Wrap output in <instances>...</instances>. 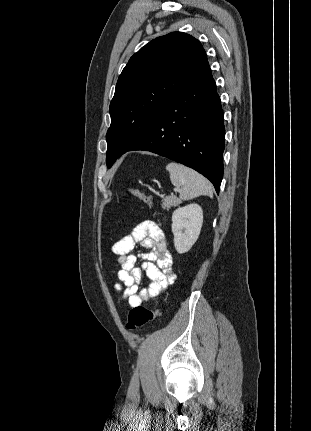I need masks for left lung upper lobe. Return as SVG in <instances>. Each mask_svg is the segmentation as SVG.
<instances>
[{
	"label": "left lung upper lobe",
	"mask_w": 311,
	"mask_h": 431,
	"mask_svg": "<svg viewBox=\"0 0 311 431\" xmlns=\"http://www.w3.org/2000/svg\"><path fill=\"white\" fill-rule=\"evenodd\" d=\"M205 58L201 43L182 32L158 37L130 58L110 103L108 168L146 136L165 105Z\"/></svg>",
	"instance_id": "1"
}]
</instances>
